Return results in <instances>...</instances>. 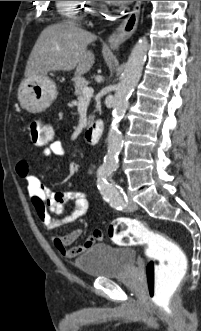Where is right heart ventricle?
I'll use <instances>...</instances> for the list:
<instances>
[{
    "mask_svg": "<svg viewBox=\"0 0 201 331\" xmlns=\"http://www.w3.org/2000/svg\"><path fill=\"white\" fill-rule=\"evenodd\" d=\"M57 7L65 20L80 23L86 10V1H57Z\"/></svg>",
    "mask_w": 201,
    "mask_h": 331,
    "instance_id": "1",
    "label": "right heart ventricle"
}]
</instances>
